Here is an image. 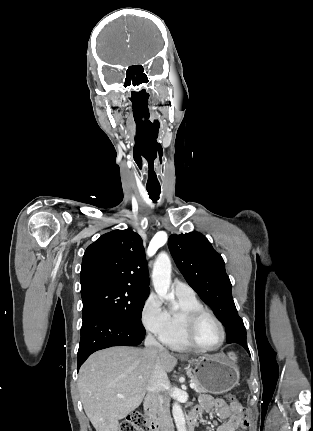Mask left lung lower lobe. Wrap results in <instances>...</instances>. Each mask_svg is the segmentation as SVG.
Listing matches in <instances>:
<instances>
[{"instance_id":"left-lung-lower-lobe-1","label":"left lung lower lobe","mask_w":313,"mask_h":431,"mask_svg":"<svg viewBox=\"0 0 313 431\" xmlns=\"http://www.w3.org/2000/svg\"><path fill=\"white\" fill-rule=\"evenodd\" d=\"M243 347L249 352V349L245 343H243Z\"/></svg>"}]
</instances>
